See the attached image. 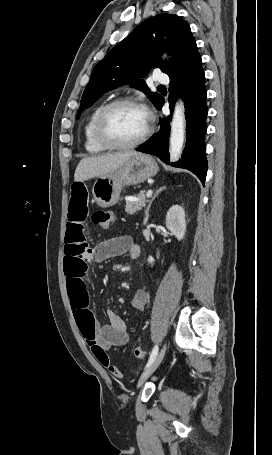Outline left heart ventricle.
Here are the masks:
<instances>
[{
    "label": "left heart ventricle",
    "mask_w": 272,
    "mask_h": 455,
    "mask_svg": "<svg viewBox=\"0 0 272 455\" xmlns=\"http://www.w3.org/2000/svg\"><path fill=\"white\" fill-rule=\"evenodd\" d=\"M147 123L145 112L137 107L124 105L113 109L104 121L107 136L117 143H129L141 136Z\"/></svg>",
    "instance_id": "left-heart-ventricle-1"
}]
</instances>
